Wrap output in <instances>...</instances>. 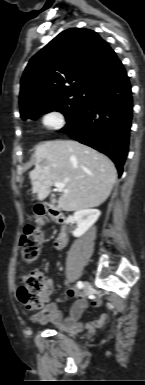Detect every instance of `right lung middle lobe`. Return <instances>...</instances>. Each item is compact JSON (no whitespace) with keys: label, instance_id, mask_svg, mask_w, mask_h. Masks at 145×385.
<instances>
[{"label":"right lung middle lobe","instance_id":"dd1d6c3e","mask_svg":"<svg viewBox=\"0 0 145 385\" xmlns=\"http://www.w3.org/2000/svg\"><path fill=\"white\" fill-rule=\"evenodd\" d=\"M91 91L84 89H76L69 91L52 101L33 109H30L21 117L26 119H37L40 114L51 111H59L64 114L66 121L70 122L76 114L85 106Z\"/></svg>","mask_w":145,"mask_h":385}]
</instances>
